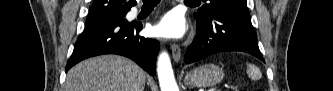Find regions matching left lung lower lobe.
<instances>
[{
    "label": "left lung lower lobe",
    "instance_id": "0a47b994",
    "mask_svg": "<svg viewBox=\"0 0 333 91\" xmlns=\"http://www.w3.org/2000/svg\"><path fill=\"white\" fill-rule=\"evenodd\" d=\"M197 34L185 54L187 64L222 51H242L264 61L247 6L217 8L196 20Z\"/></svg>",
    "mask_w": 333,
    "mask_h": 91
}]
</instances>
